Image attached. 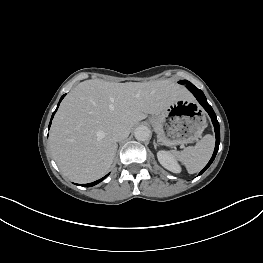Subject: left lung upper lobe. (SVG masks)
<instances>
[{
	"mask_svg": "<svg viewBox=\"0 0 263 263\" xmlns=\"http://www.w3.org/2000/svg\"><path fill=\"white\" fill-rule=\"evenodd\" d=\"M180 84H191L189 81H187V80H183V81H180L179 82Z\"/></svg>",
	"mask_w": 263,
	"mask_h": 263,
	"instance_id": "obj_1",
	"label": "left lung upper lobe"
}]
</instances>
